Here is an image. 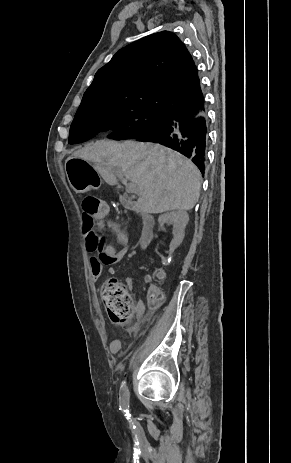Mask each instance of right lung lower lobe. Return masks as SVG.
<instances>
[{"label":"right lung lower lobe","instance_id":"98d812e1","mask_svg":"<svg viewBox=\"0 0 291 463\" xmlns=\"http://www.w3.org/2000/svg\"><path fill=\"white\" fill-rule=\"evenodd\" d=\"M195 114L173 112L166 114L163 123L135 138L162 144L188 157L204 173L208 143L204 99Z\"/></svg>","mask_w":291,"mask_h":463}]
</instances>
